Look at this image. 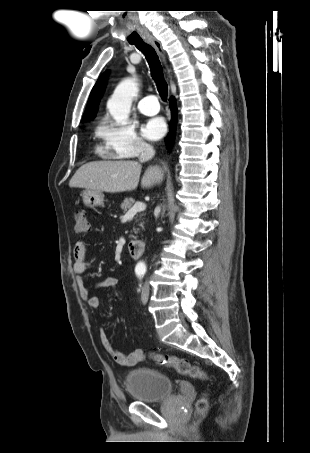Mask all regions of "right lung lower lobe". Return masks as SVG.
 Returning <instances> with one entry per match:
<instances>
[{"mask_svg": "<svg viewBox=\"0 0 310 453\" xmlns=\"http://www.w3.org/2000/svg\"><path fill=\"white\" fill-rule=\"evenodd\" d=\"M170 109L172 112V121L170 124V132L168 136L166 137V141L168 145H171V143L174 140L175 137V132H176V123H177V107H176V102L174 97L170 99Z\"/></svg>", "mask_w": 310, "mask_h": 453, "instance_id": "right-lung-lower-lobe-1", "label": "right lung lower lobe"}]
</instances>
